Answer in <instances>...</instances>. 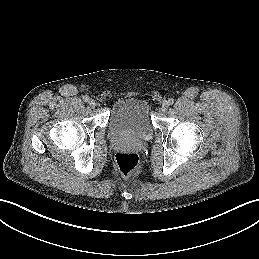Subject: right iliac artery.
<instances>
[{"label": "right iliac artery", "mask_w": 259, "mask_h": 259, "mask_svg": "<svg viewBox=\"0 0 259 259\" xmlns=\"http://www.w3.org/2000/svg\"><path fill=\"white\" fill-rule=\"evenodd\" d=\"M83 100H84L85 102H88V101H89V97H88L87 95H85V96H83Z\"/></svg>", "instance_id": "1"}]
</instances>
